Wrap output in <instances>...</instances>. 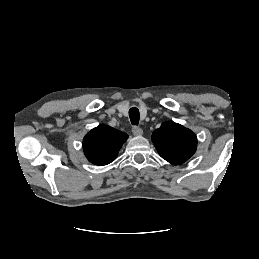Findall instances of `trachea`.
I'll return each mask as SVG.
<instances>
[{
    "mask_svg": "<svg viewBox=\"0 0 259 259\" xmlns=\"http://www.w3.org/2000/svg\"><path fill=\"white\" fill-rule=\"evenodd\" d=\"M139 116H140L139 110L136 107H132L129 110V117H130L131 123L133 125H138L139 124Z\"/></svg>",
    "mask_w": 259,
    "mask_h": 259,
    "instance_id": "obj_1",
    "label": "trachea"
}]
</instances>
